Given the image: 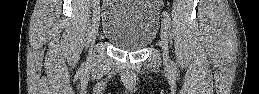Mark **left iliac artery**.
<instances>
[{"instance_id":"obj_1","label":"left iliac artery","mask_w":259,"mask_h":94,"mask_svg":"<svg viewBox=\"0 0 259 94\" xmlns=\"http://www.w3.org/2000/svg\"><path fill=\"white\" fill-rule=\"evenodd\" d=\"M162 15H163L165 20L170 21V15H169V13L167 11L164 10L162 12ZM172 66L174 67V63H172Z\"/></svg>"}]
</instances>
